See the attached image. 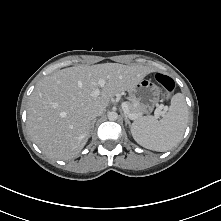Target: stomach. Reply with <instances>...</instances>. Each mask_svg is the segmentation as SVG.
Instances as JSON below:
<instances>
[{"instance_id":"0dacf381","label":"stomach","mask_w":221,"mask_h":221,"mask_svg":"<svg viewBox=\"0 0 221 221\" xmlns=\"http://www.w3.org/2000/svg\"><path fill=\"white\" fill-rule=\"evenodd\" d=\"M131 99L139 103L143 113H149L159 102L160 89L151 80L142 79L130 89Z\"/></svg>"}]
</instances>
